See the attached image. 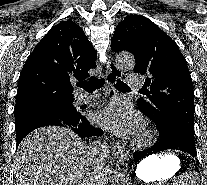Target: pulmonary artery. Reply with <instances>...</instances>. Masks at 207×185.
Segmentation results:
<instances>
[{"instance_id": "1", "label": "pulmonary artery", "mask_w": 207, "mask_h": 185, "mask_svg": "<svg viewBox=\"0 0 207 185\" xmlns=\"http://www.w3.org/2000/svg\"><path fill=\"white\" fill-rule=\"evenodd\" d=\"M127 82L129 86V91H138V86L143 85L142 77H127ZM94 100H95L94 95L85 96L84 98L85 103H89Z\"/></svg>"}]
</instances>
